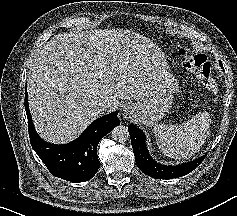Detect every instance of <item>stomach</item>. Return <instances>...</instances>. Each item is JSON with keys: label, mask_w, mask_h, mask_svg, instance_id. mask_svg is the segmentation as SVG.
Here are the masks:
<instances>
[{"label": "stomach", "mask_w": 237, "mask_h": 216, "mask_svg": "<svg viewBox=\"0 0 237 216\" xmlns=\"http://www.w3.org/2000/svg\"><path fill=\"white\" fill-rule=\"evenodd\" d=\"M172 93L164 87H155L147 96L133 105L134 118L143 125L156 124L170 109Z\"/></svg>", "instance_id": "1"}]
</instances>
